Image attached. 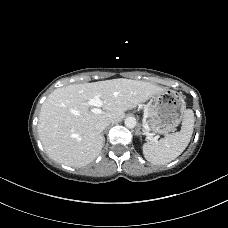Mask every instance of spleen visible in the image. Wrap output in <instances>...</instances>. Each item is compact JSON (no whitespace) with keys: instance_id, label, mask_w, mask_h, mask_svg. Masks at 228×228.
Masks as SVG:
<instances>
[{"instance_id":"3e777b00","label":"spleen","mask_w":228,"mask_h":228,"mask_svg":"<svg viewBox=\"0 0 228 228\" xmlns=\"http://www.w3.org/2000/svg\"><path fill=\"white\" fill-rule=\"evenodd\" d=\"M194 126V113L185 110L181 131L165 136L159 141L151 140L143 145L144 157L151 163L163 165L177 158L188 146Z\"/></svg>"}]
</instances>
